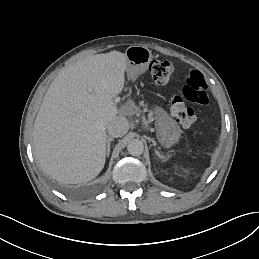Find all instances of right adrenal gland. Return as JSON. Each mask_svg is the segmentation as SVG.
I'll return each instance as SVG.
<instances>
[{
    "label": "right adrenal gland",
    "instance_id": "right-adrenal-gland-1",
    "mask_svg": "<svg viewBox=\"0 0 259 259\" xmlns=\"http://www.w3.org/2000/svg\"><path fill=\"white\" fill-rule=\"evenodd\" d=\"M111 141H113V138H108L107 139V149H108V152L110 151V144H111Z\"/></svg>",
    "mask_w": 259,
    "mask_h": 259
}]
</instances>
